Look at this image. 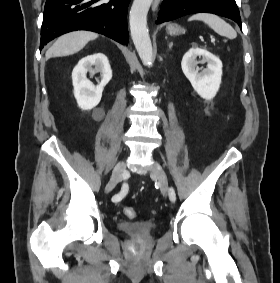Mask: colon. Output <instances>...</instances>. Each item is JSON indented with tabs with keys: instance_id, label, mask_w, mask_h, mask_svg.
I'll use <instances>...</instances> for the list:
<instances>
[{
	"instance_id": "obj_1",
	"label": "colon",
	"mask_w": 280,
	"mask_h": 283,
	"mask_svg": "<svg viewBox=\"0 0 280 283\" xmlns=\"http://www.w3.org/2000/svg\"><path fill=\"white\" fill-rule=\"evenodd\" d=\"M124 214H125L126 217L131 218V219L135 218V216H136L135 210L133 208H130V207L124 208Z\"/></svg>"
}]
</instances>
